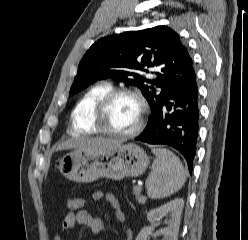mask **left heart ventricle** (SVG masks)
<instances>
[{
	"label": "left heart ventricle",
	"instance_id": "1",
	"mask_svg": "<svg viewBox=\"0 0 248 240\" xmlns=\"http://www.w3.org/2000/svg\"><path fill=\"white\" fill-rule=\"evenodd\" d=\"M140 106L138 101L129 95L117 96L108 107L103 125L117 132L132 130L139 119Z\"/></svg>",
	"mask_w": 248,
	"mask_h": 240
}]
</instances>
